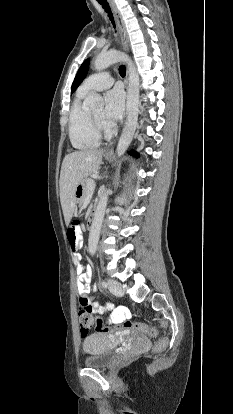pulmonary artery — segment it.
Instances as JSON below:
<instances>
[{
    "label": "pulmonary artery",
    "mask_w": 233,
    "mask_h": 414,
    "mask_svg": "<svg viewBox=\"0 0 233 414\" xmlns=\"http://www.w3.org/2000/svg\"><path fill=\"white\" fill-rule=\"evenodd\" d=\"M113 83L114 78L109 72H100L86 78L80 88L86 92L100 91L109 88Z\"/></svg>",
    "instance_id": "e3ab8cb5"
}]
</instances>
